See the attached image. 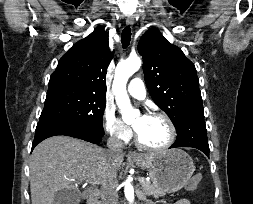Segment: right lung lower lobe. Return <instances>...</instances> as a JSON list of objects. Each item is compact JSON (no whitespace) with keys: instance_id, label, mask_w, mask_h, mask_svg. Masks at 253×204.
<instances>
[{"instance_id":"98d812e1","label":"right lung lower lobe","mask_w":253,"mask_h":204,"mask_svg":"<svg viewBox=\"0 0 253 204\" xmlns=\"http://www.w3.org/2000/svg\"><path fill=\"white\" fill-rule=\"evenodd\" d=\"M55 135H66L91 143H99L102 141L104 133L102 134L95 130L63 122L39 121L35 131V138L32 143V150L44 139Z\"/></svg>"}]
</instances>
